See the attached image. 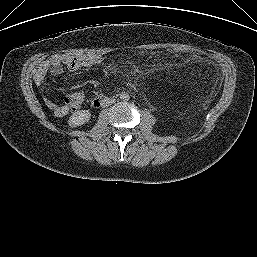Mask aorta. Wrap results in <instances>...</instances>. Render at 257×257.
I'll return each instance as SVG.
<instances>
[{
	"mask_svg": "<svg viewBox=\"0 0 257 257\" xmlns=\"http://www.w3.org/2000/svg\"><path fill=\"white\" fill-rule=\"evenodd\" d=\"M120 99L123 101H128L130 99V95L127 92H122L120 94Z\"/></svg>",
	"mask_w": 257,
	"mask_h": 257,
	"instance_id": "762f6f07",
	"label": "aorta"
}]
</instances>
